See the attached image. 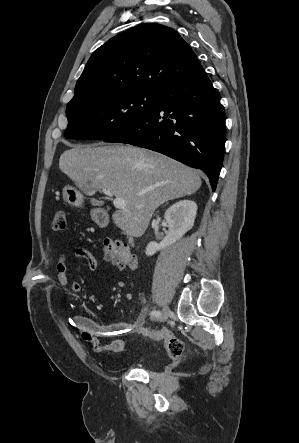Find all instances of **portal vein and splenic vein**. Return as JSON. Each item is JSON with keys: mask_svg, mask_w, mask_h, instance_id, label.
Instances as JSON below:
<instances>
[{"mask_svg": "<svg viewBox=\"0 0 299 443\" xmlns=\"http://www.w3.org/2000/svg\"><path fill=\"white\" fill-rule=\"evenodd\" d=\"M102 192L107 196H110V197L113 196L111 191L108 189H102ZM113 204H114L115 208L122 209L126 206V201L123 198L116 197L113 201Z\"/></svg>", "mask_w": 299, "mask_h": 443, "instance_id": "1", "label": "portal vein and splenic vein"}]
</instances>
